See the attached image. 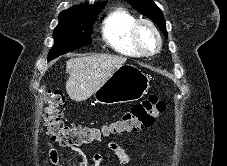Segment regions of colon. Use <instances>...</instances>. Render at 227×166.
Here are the masks:
<instances>
[{
  "label": "colon",
  "mask_w": 227,
  "mask_h": 166,
  "mask_svg": "<svg viewBox=\"0 0 227 166\" xmlns=\"http://www.w3.org/2000/svg\"><path fill=\"white\" fill-rule=\"evenodd\" d=\"M65 97L62 91L52 90L47 96L44 125L52 138L63 146L89 145L110 133H135L153 124L154 118L165 109L162 98L151 94L132 109L121 115L108 128L98 129L88 126H71L62 120Z\"/></svg>",
  "instance_id": "colon-1"
}]
</instances>
